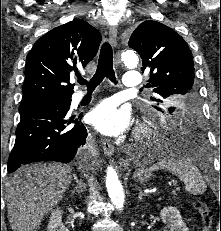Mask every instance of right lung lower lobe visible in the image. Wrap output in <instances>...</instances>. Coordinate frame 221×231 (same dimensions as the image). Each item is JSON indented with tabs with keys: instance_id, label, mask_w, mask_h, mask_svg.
Segmentation results:
<instances>
[{
	"instance_id": "obj_1",
	"label": "right lung lower lobe",
	"mask_w": 221,
	"mask_h": 231,
	"mask_svg": "<svg viewBox=\"0 0 221 231\" xmlns=\"http://www.w3.org/2000/svg\"><path fill=\"white\" fill-rule=\"evenodd\" d=\"M67 101H50L20 111L8 171L39 161L70 162L87 137L85 126L68 113Z\"/></svg>"
}]
</instances>
